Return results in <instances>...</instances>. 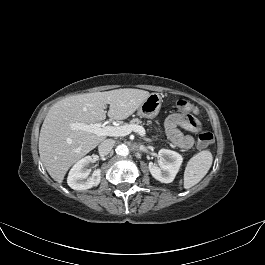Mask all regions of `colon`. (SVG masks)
I'll return each mask as SVG.
<instances>
[{
    "mask_svg": "<svg viewBox=\"0 0 265 265\" xmlns=\"http://www.w3.org/2000/svg\"><path fill=\"white\" fill-rule=\"evenodd\" d=\"M177 107L182 110H186L188 112H197V107L195 104L185 100V99H180L177 101ZM214 142V136L211 132H204L199 135L198 141H197V146L200 149H205L212 145Z\"/></svg>",
    "mask_w": 265,
    "mask_h": 265,
    "instance_id": "obj_1",
    "label": "colon"
}]
</instances>
